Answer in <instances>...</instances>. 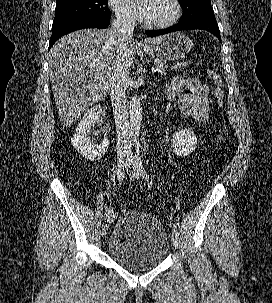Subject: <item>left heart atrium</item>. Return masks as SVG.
Masks as SVG:
<instances>
[{"mask_svg": "<svg viewBox=\"0 0 272 303\" xmlns=\"http://www.w3.org/2000/svg\"><path fill=\"white\" fill-rule=\"evenodd\" d=\"M150 1L151 0H131V4L136 9L137 14L146 19L150 9Z\"/></svg>", "mask_w": 272, "mask_h": 303, "instance_id": "obj_1", "label": "left heart atrium"}]
</instances>
